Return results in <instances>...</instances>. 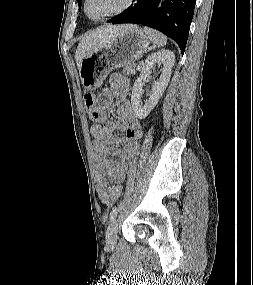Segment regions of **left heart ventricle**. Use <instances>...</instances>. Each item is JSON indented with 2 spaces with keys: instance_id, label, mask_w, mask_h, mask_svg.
<instances>
[{
  "instance_id": "b2bd125f",
  "label": "left heart ventricle",
  "mask_w": 253,
  "mask_h": 285,
  "mask_svg": "<svg viewBox=\"0 0 253 285\" xmlns=\"http://www.w3.org/2000/svg\"><path fill=\"white\" fill-rule=\"evenodd\" d=\"M126 0H89L87 12L93 17H100L120 9Z\"/></svg>"
}]
</instances>
